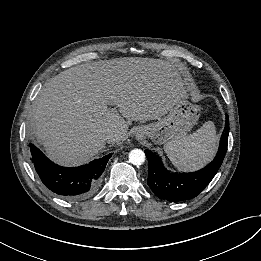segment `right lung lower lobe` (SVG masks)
Segmentation results:
<instances>
[{"mask_svg":"<svg viewBox=\"0 0 261 261\" xmlns=\"http://www.w3.org/2000/svg\"><path fill=\"white\" fill-rule=\"evenodd\" d=\"M29 146L32 163L43 184L66 200H79L94 193L111 157L108 154L88 164L67 168L54 164L33 144Z\"/></svg>","mask_w":261,"mask_h":261,"instance_id":"98d812e1","label":"right lung lower lobe"}]
</instances>
